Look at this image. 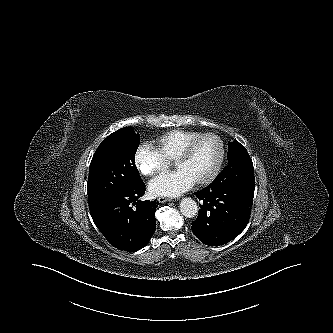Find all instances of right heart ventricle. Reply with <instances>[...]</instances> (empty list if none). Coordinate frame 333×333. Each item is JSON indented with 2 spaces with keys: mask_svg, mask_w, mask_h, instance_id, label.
<instances>
[{
  "mask_svg": "<svg viewBox=\"0 0 333 333\" xmlns=\"http://www.w3.org/2000/svg\"><path fill=\"white\" fill-rule=\"evenodd\" d=\"M202 134L198 131L172 130L164 133L152 143V148L168 161L175 160L186 144Z\"/></svg>",
  "mask_w": 333,
  "mask_h": 333,
  "instance_id": "obj_1",
  "label": "right heart ventricle"
}]
</instances>
